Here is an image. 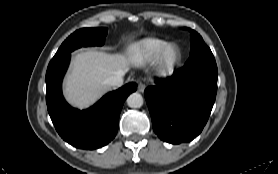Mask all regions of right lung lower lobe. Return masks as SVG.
Here are the masks:
<instances>
[{
    "label": "right lung lower lobe",
    "mask_w": 278,
    "mask_h": 174,
    "mask_svg": "<svg viewBox=\"0 0 278 174\" xmlns=\"http://www.w3.org/2000/svg\"><path fill=\"white\" fill-rule=\"evenodd\" d=\"M70 61V53L51 60L46 72V102L58 134L69 144L81 149H96L108 144L118 130V119L128 95L137 89L128 83L106 94L87 110L69 106L61 92V81Z\"/></svg>",
    "instance_id": "98d812e1"
}]
</instances>
